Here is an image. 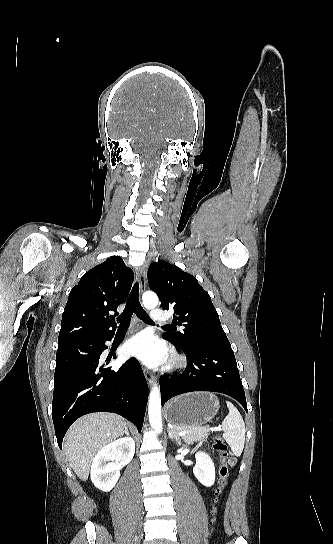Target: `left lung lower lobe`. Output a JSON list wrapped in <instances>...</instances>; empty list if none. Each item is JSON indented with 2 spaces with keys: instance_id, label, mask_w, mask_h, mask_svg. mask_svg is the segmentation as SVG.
<instances>
[{
  "instance_id": "left-lung-lower-lobe-1",
  "label": "left lung lower lobe",
  "mask_w": 333,
  "mask_h": 544,
  "mask_svg": "<svg viewBox=\"0 0 333 544\" xmlns=\"http://www.w3.org/2000/svg\"><path fill=\"white\" fill-rule=\"evenodd\" d=\"M183 352L187 357L186 369L177 376H164L160 379L162 405L179 394L211 391L231 396L248 412L231 347L206 344Z\"/></svg>"
}]
</instances>
